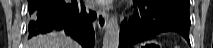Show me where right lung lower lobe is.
<instances>
[{"label": "right lung lower lobe", "mask_w": 213, "mask_h": 48, "mask_svg": "<svg viewBox=\"0 0 213 48\" xmlns=\"http://www.w3.org/2000/svg\"><path fill=\"white\" fill-rule=\"evenodd\" d=\"M29 38L52 30H64L83 48L94 47L92 22L96 13L86 10L82 0H28Z\"/></svg>", "instance_id": "obj_1"}]
</instances>
